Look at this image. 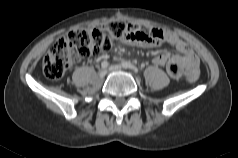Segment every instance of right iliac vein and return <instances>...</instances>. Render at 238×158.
Masks as SVG:
<instances>
[{
	"label": "right iliac vein",
	"mask_w": 238,
	"mask_h": 158,
	"mask_svg": "<svg viewBox=\"0 0 238 158\" xmlns=\"http://www.w3.org/2000/svg\"><path fill=\"white\" fill-rule=\"evenodd\" d=\"M106 74H107V71L103 69L99 72V77L104 78L106 76Z\"/></svg>",
	"instance_id": "obj_1"
}]
</instances>
